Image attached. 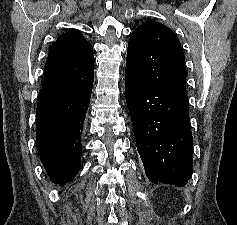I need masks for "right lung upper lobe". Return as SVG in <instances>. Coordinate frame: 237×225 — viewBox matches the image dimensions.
<instances>
[{
	"mask_svg": "<svg viewBox=\"0 0 237 225\" xmlns=\"http://www.w3.org/2000/svg\"><path fill=\"white\" fill-rule=\"evenodd\" d=\"M92 49L79 30L58 36L48 54L41 92L73 90L93 81Z\"/></svg>",
	"mask_w": 237,
	"mask_h": 225,
	"instance_id": "1",
	"label": "right lung upper lobe"
}]
</instances>
